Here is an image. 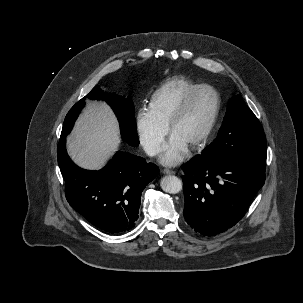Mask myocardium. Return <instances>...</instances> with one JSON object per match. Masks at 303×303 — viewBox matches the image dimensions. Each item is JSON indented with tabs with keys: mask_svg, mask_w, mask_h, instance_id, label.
Listing matches in <instances>:
<instances>
[{
	"mask_svg": "<svg viewBox=\"0 0 303 303\" xmlns=\"http://www.w3.org/2000/svg\"><path fill=\"white\" fill-rule=\"evenodd\" d=\"M203 89H208L214 93L215 98H216V105H215L213 115H212L207 127L200 134V136L190 145V147L193 150H196L205 144V142L208 140V138L210 137L211 133L213 132V130L216 126V123L218 121V118H219V115L221 112V107H222V99H221V95L218 92V90L209 84H200V85L196 86L195 88H193L191 91H189L185 95L183 100L180 102V104L178 105V107L176 108L174 113L172 114V116L169 120V123H168L169 131L172 133L176 124L178 123V121L181 119V117L187 111L194 96Z\"/></svg>",
	"mask_w": 303,
	"mask_h": 303,
	"instance_id": "1",
	"label": "myocardium"
}]
</instances>
